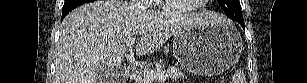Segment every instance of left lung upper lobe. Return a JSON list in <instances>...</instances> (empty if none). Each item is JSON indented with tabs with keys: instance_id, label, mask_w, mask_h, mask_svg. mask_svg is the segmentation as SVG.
Returning a JSON list of instances; mask_svg holds the SVG:
<instances>
[{
	"instance_id": "1",
	"label": "left lung upper lobe",
	"mask_w": 307,
	"mask_h": 83,
	"mask_svg": "<svg viewBox=\"0 0 307 83\" xmlns=\"http://www.w3.org/2000/svg\"><path fill=\"white\" fill-rule=\"evenodd\" d=\"M225 14L236 21H244L241 17V5L239 0H217Z\"/></svg>"
}]
</instances>
